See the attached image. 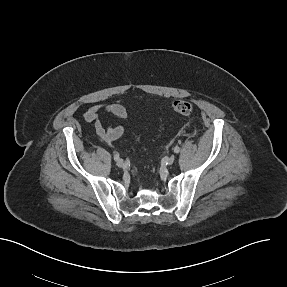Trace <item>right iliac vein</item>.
I'll return each mask as SVG.
<instances>
[{"label": "right iliac vein", "instance_id": "63e3f726", "mask_svg": "<svg viewBox=\"0 0 287 287\" xmlns=\"http://www.w3.org/2000/svg\"><path fill=\"white\" fill-rule=\"evenodd\" d=\"M116 164H117L118 167L121 168V167L124 166V161H123L122 159H118L117 162H116Z\"/></svg>", "mask_w": 287, "mask_h": 287}]
</instances>
